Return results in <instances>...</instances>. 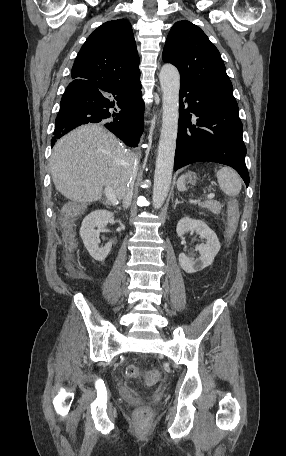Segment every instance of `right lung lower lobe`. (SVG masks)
Returning <instances> with one entry per match:
<instances>
[{
  "mask_svg": "<svg viewBox=\"0 0 286 456\" xmlns=\"http://www.w3.org/2000/svg\"><path fill=\"white\" fill-rule=\"evenodd\" d=\"M143 114L139 78L110 88L74 79L62 96L51 146L80 125L101 123L126 145L136 147L143 132Z\"/></svg>",
  "mask_w": 286,
  "mask_h": 456,
  "instance_id": "98d812e1",
  "label": "right lung lower lobe"
}]
</instances>
